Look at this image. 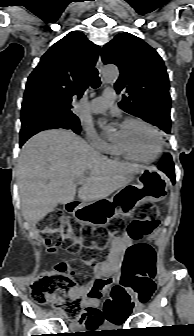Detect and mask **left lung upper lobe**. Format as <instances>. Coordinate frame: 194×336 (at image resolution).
I'll use <instances>...</instances> for the list:
<instances>
[{
  "mask_svg": "<svg viewBox=\"0 0 194 336\" xmlns=\"http://www.w3.org/2000/svg\"><path fill=\"white\" fill-rule=\"evenodd\" d=\"M102 60L119 67L117 93L125 92L119 106L126 112L170 133L171 97L162 58L140 38L124 32L102 48Z\"/></svg>",
  "mask_w": 194,
  "mask_h": 336,
  "instance_id": "left-lung-upper-lobe-1",
  "label": "left lung upper lobe"
}]
</instances>
